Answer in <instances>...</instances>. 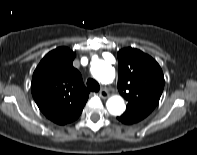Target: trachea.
Listing matches in <instances>:
<instances>
[{
  "instance_id": "3493384b",
  "label": "trachea",
  "mask_w": 197,
  "mask_h": 155,
  "mask_svg": "<svg viewBox=\"0 0 197 155\" xmlns=\"http://www.w3.org/2000/svg\"><path fill=\"white\" fill-rule=\"evenodd\" d=\"M87 87L89 88V90L93 91V92H97L100 89V86L98 84V82H96L94 79L89 78L87 80Z\"/></svg>"
}]
</instances>
